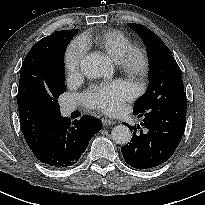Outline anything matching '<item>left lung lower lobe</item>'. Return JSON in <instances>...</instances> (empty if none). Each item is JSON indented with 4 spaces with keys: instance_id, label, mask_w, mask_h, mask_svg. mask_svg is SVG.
<instances>
[{
    "instance_id": "obj_1",
    "label": "left lung lower lobe",
    "mask_w": 205,
    "mask_h": 205,
    "mask_svg": "<svg viewBox=\"0 0 205 205\" xmlns=\"http://www.w3.org/2000/svg\"><path fill=\"white\" fill-rule=\"evenodd\" d=\"M186 106V99H171L134 114L143 121L140 125L128 126L133 136L121 148L125 161L136 169H149L167 161L182 139Z\"/></svg>"
}]
</instances>
